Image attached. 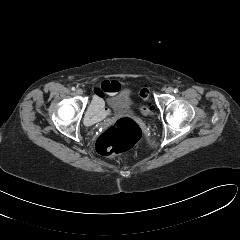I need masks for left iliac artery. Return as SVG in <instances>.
Instances as JSON below:
<instances>
[{"instance_id":"obj_1","label":"left iliac artery","mask_w":240,"mask_h":240,"mask_svg":"<svg viewBox=\"0 0 240 240\" xmlns=\"http://www.w3.org/2000/svg\"><path fill=\"white\" fill-rule=\"evenodd\" d=\"M179 90L177 88L174 89V93H177Z\"/></svg>"}]
</instances>
